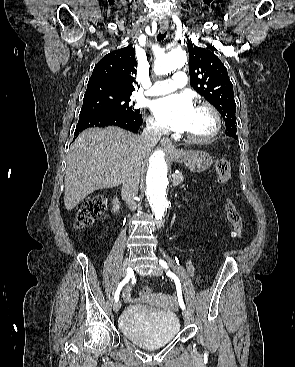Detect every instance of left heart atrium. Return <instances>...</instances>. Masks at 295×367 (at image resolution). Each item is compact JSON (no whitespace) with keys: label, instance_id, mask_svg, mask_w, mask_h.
<instances>
[{"label":"left heart atrium","instance_id":"obj_1","mask_svg":"<svg viewBox=\"0 0 295 367\" xmlns=\"http://www.w3.org/2000/svg\"><path fill=\"white\" fill-rule=\"evenodd\" d=\"M151 109L165 127L180 132L186 131L195 110L187 94H173L155 100Z\"/></svg>","mask_w":295,"mask_h":367}]
</instances>
